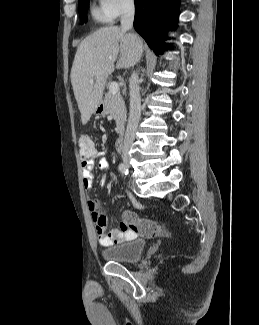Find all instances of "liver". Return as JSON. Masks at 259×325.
<instances>
[{"label": "liver", "instance_id": "liver-1", "mask_svg": "<svg viewBox=\"0 0 259 325\" xmlns=\"http://www.w3.org/2000/svg\"><path fill=\"white\" fill-rule=\"evenodd\" d=\"M142 53V39L116 26L103 27L79 44L71 69V83L83 125L102 101L115 61L118 59L117 69H127L140 60Z\"/></svg>", "mask_w": 259, "mask_h": 325}]
</instances>
